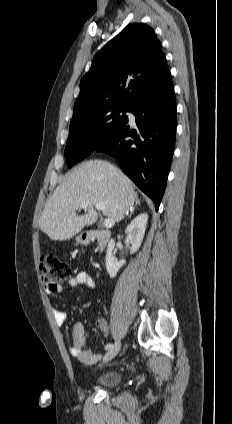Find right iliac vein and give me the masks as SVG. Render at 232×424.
Masks as SVG:
<instances>
[{"mask_svg": "<svg viewBox=\"0 0 232 424\" xmlns=\"http://www.w3.org/2000/svg\"><path fill=\"white\" fill-rule=\"evenodd\" d=\"M120 349H121V343L120 341H116L115 344L105 354L103 361L107 362L113 359L119 353Z\"/></svg>", "mask_w": 232, "mask_h": 424, "instance_id": "right-iliac-vein-1", "label": "right iliac vein"}]
</instances>
